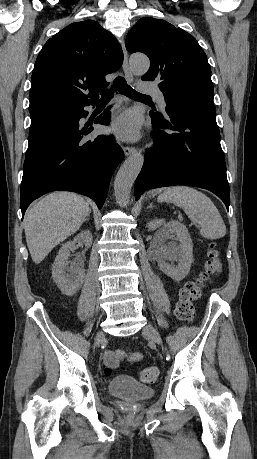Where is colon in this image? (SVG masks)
<instances>
[{
  "label": "colon",
  "mask_w": 257,
  "mask_h": 459,
  "mask_svg": "<svg viewBox=\"0 0 257 459\" xmlns=\"http://www.w3.org/2000/svg\"><path fill=\"white\" fill-rule=\"evenodd\" d=\"M221 271L220 254L215 243L210 244L208 261L200 276L187 282L179 292V299L176 304L175 314L178 319L184 322H191L195 317L193 302L200 296L203 288L210 283ZM106 377L112 375V368L104 369ZM159 371L156 367H147L139 372V378L143 382H153L158 377Z\"/></svg>",
  "instance_id": "1"
}]
</instances>
